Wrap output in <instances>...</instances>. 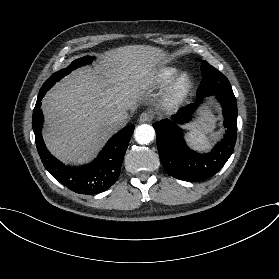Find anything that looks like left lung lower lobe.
I'll return each mask as SVG.
<instances>
[{
	"label": "left lung lower lobe",
	"instance_id": "1",
	"mask_svg": "<svg viewBox=\"0 0 279 279\" xmlns=\"http://www.w3.org/2000/svg\"><path fill=\"white\" fill-rule=\"evenodd\" d=\"M223 107L226 133L209 152L200 154L189 149L177 124L190 121L201 100L181 108L171 120L163 119L153 124L157 136L158 153L166 172L180 180L196 182L214 176L227 162L234 150L237 138V102L217 96Z\"/></svg>",
	"mask_w": 279,
	"mask_h": 279
}]
</instances>
